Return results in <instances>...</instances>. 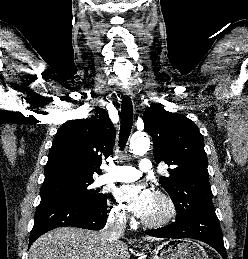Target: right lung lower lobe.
<instances>
[{
	"label": "right lung lower lobe",
	"mask_w": 248,
	"mask_h": 259,
	"mask_svg": "<svg viewBox=\"0 0 248 259\" xmlns=\"http://www.w3.org/2000/svg\"><path fill=\"white\" fill-rule=\"evenodd\" d=\"M107 208V203L91 204L66 198L41 199L36 210L29 247L38 237L57 227L100 230L106 224Z\"/></svg>",
	"instance_id": "1"
}]
</instances>
